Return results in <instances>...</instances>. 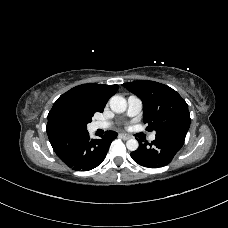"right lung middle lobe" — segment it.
<instances>
[{
	"label": "right lung middle lobe",
	"mask_w": 228,
	"mask_h": 228,
	"mask_svg": "<svg viewBox=\"0 0 228 228\" xmlns=\"http://www.w3.org/2000/svg\"><path fill=\"white\" fill-rule=\"evenodd\" d=\"M94 114L75 105H63L56 111L55 119L60 128L87 130V124L92 121Z\"/></svg>",
	"instance_id": "right-lung-middle-lobe-1"
}]
</instances>
